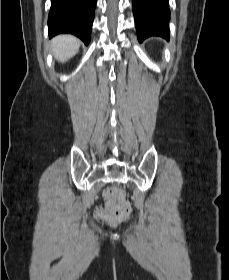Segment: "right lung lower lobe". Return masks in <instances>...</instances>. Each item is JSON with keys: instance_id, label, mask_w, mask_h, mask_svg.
<instances>
[{"instance_id": "obj_1", "label": "right lung lower lobe", "mask_w": 229, "mask_h": 280, "mask_svg": "<svg viewBox=\"0 0 229 280\" xmlns=\"http://www.w3.org/2000/svg\"><path fill=\"white\" fill-rule=\"evenodd\" d=\"M95 5L96 0H51L49 36L70 33L87 45L90 41Z\"/></svg>"}]
</instances>
